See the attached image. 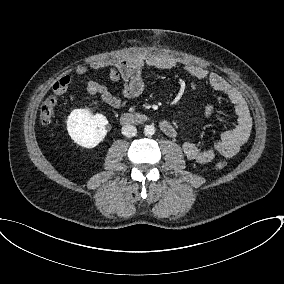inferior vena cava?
<instances>
[{"instance_id":"obj_1","label":"inferior vena cava","mask_w":284,"mask_h":284,"mask_svg":"<svg viewBox=\"0 0 284 284\" xmlns=\"http://www.w3.org/2000/svg\"><path fill=\"white\" fill-rule=\"evenodd\" d=\"M137 133V129L133 125H125L122 127V134L126 137H133Z\"/></svg>"}]
</instances>
